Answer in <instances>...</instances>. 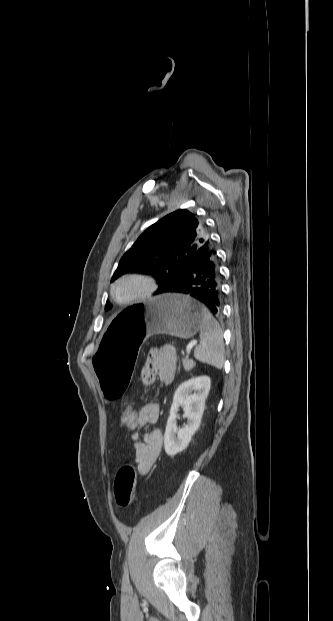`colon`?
<instances>
[{"label": "colon", "instance_id": "colon-1", "mask_svg": "<svg viewBox=\"0 0 333 621\" xmlns=\"http://www.w3.org/2000/svg\"><path fill=\"white\" fill-rule=\"evenodd\" d=\"M139 419V410H137L131 401H127L122 408L121 422L129 429L135 427ZM136 488V472L135 469L126 464L122 466L115 477L114 494L118 506L128 507L133 503Z\"/></svg>", "mask_w": 333, "mask_h": 621}]
</instances>
